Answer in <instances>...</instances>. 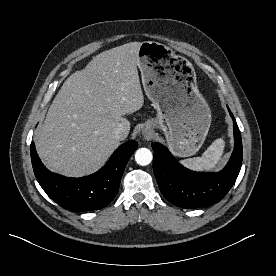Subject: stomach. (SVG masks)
<instances>
[{"mask_svg": "<svg viewBox=\"0 0 276 276\" xmlns=\"http://www.w3.org/2000/svg\"><path fill=\"white\" fill-rule=\"evenodd\" d=\"M137 57L145 93L157 109L154 123L170 151L178 157L196 154L207 136L211 111L197 88L193 65L153 41L142 42Z\"/></svg>", "mask_w": 276, "mask_h": 276, "instance_id": "obj_1", "label": "stomach"}]
</instances>
